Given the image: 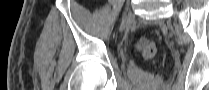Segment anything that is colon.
Here are the masks:
<instances>
[{
    "label": "colon",
    "instance_id": "5ec220e1",
    "mask_svg": "<svg viewBox=\"0 0 209 90\" xmlns=\"http://www.w3.org/2000/svg\"><path fill=\"white\" fill-rule=\"evenodd\" d=\"M138 50L145 60H153L157 54V46L154 42L143 37L137 43Z\"/></svg>",
    "mask_w": 209,
    "mask_h": 90
}]
</instances>
